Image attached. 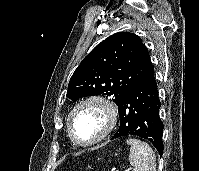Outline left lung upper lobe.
<instances>
[{
  "label": "left lung upper lobe",
  "instance_id": "obj_1",
  "mask_svg": "<svg viewBox=\"0 0 199 171\" xmlns=\"http://www.w3.org/2000/svg\"><path fill=\"white\" fill-rule=\"evenodd\" d=\"M152 66L139 36L115 33L96 46L74 71L67 97L77 101L94 95L113 96L119 105L127 92Z\"/></svg>",
  "mask_w": 199,
  "mask_h": 171
}]
</instances>
